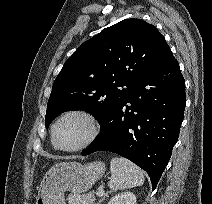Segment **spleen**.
<instances>
[{"instance_id": "3e777b00", "label": "spleen", "mask_w": 212, "mask_h": 204, "mask_svg": "<svg viewBox=\"0 0 212 204\" xmlns=\"http://www.w3.org/2000/svg\"><path fill=\"white\" fill-rule=\"evenodd\" d=\"M111 178L108 186L111 190H124L144 184L143 171L131 161L117 157L110 161Z\"/></svg>"}]
</instances>
